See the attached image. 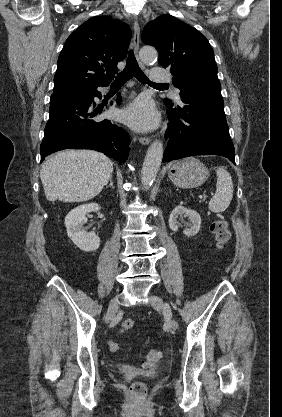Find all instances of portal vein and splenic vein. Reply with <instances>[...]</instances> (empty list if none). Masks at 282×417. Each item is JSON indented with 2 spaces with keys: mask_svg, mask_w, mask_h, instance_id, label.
<instances>
[{
  "mask_svg": "<svg viewBox=\"0 0 282 417\" xmlns=\"http://www.w3.org/2000/svg\"><path fill=\"white\" fill-rule=\"evenodd\" d=\"M210 196H211V197H214V196H215V193H214V192H211V193H210Z\"/></svg>",
  "mask_w": 282,
  "mask_h": 417,
  "instance_id": "portal-vein-and-splenic-vein-1",
  "label": "portal vein and splenic vein"
}]
</instances>
